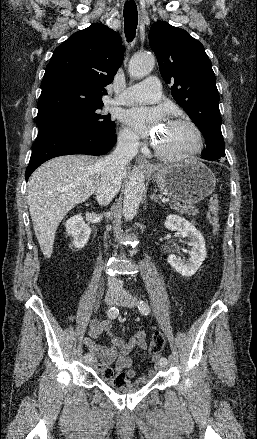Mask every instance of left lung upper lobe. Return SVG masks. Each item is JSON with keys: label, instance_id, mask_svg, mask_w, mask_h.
Segmentation results:
<instances>
[{"label": "left lung upper lobe", "instance_id": "left-lung-upper-lobe-1", "mask_svg": "<svg viewBox=\"0 0 257 439\" xmlns=\"http://www.w3.org/2000/svg\"><path fill=\"white\" fill-rule=\"evenodd\" d=\"M149 44L163 79L172 85L173 98L203 134L206 150L202 158L225 157L216 78L203 44L164 21L151 26Z\"/></svg>", "mask_w": 257, "mask_h": 439}]
</instances>
